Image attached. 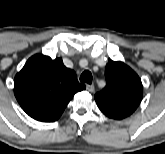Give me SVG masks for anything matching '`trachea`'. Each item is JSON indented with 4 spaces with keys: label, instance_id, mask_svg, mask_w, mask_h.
<instances>
[{
    "label": "trachea",
    "instance_id": "1",
    "mask_svg": "<svg viewBox=\"0 0 165 154\" xmlns=\"http://www.w3.org/2000/svg\"><path fill=\"white\" fill-rule=\"evenodd\" d=\"M80 81L91 84L92 83V74H91V72L88 71V70H85L80 76Z\"/></svg>",
    "mask_w": 165,
    "mask_h": 154
}]
</instances>
